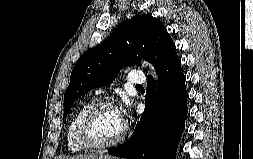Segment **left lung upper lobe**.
I'll return each instance as SVG.
<instances>
[{"mask_svg": "<svg viewBox=\"0 0 253 159\" xmlns=\"http://www.w3.org/2000/svg\"><path fill=\"white\" fill-rule=\"evenodd\" d=\"M175 44L157 18L136 15L120 23L100 45L83 53L75 64L64 95V115L89 90L107 85L126 66L149 60L158 71L174 54Z\"/></svg>", "mask_w": 253, "mask_h": 159, "instance_id": "5c2ea615", "label": "left lung upper lobe"}]
</instances>
